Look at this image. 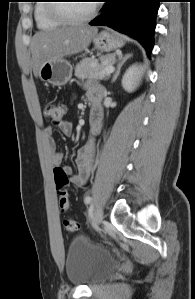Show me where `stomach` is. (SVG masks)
<instances>
[{"label":"stomach","mask_w":195,"mask_h":299,"mask_svg":"<svg viewBox=\"0 0 195 299\" xmlns=\"http://www.w3.org/2000/svg\"><path fill=\"white\" fill-rule=\"evenodd\" d=\"M95 48L101 52H110L124 45L122 37L109 31H102L93 39ZM73 67L65 59L44 63L39 72V78L53 86H63L72 77Z\"/></svg>","instance_id":"0dacf381"}]
</instances>
